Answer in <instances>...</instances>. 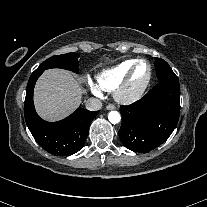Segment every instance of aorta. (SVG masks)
<instances>
[{
    "label": "aorta",
    "mask_w": 207,
    "mask_h": 207,
    "mask_svg": "<svg viewBox=\"0 0 207 207\" xmlns=\"http://www.w3.org/2000/svg\"><path fill=\"white\" fill-rule=\"evenodd\" d=\"M108 119L112 124H117L121 120L120 113L117 111H111L108 114Z\"/></svg>",
    "instance_id": "1"
}]
</instances>
